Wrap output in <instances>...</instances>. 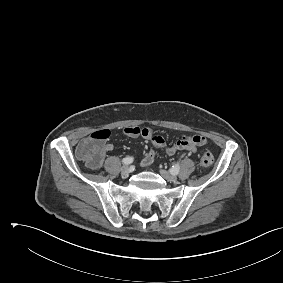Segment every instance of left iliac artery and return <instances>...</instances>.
Listing matches in <instances>:
<instances>
[{
  "instance_id": "44dca946",
  "label": "left iliac artery",
  "mask_w": 283,
  "mask_h": 283,
  "mask_svg": "<svg viewBox=\"0 0 283 283\" xmlns=\"http://www.w3.org/2000/svg\"><path fill=\"white\" fill-rule=\"evenodd\" d=\"M180 170V165L179 162H177L175 165L172 166V168L170 169V172L174 175L178 174Z\"/></svg>"
}]
</instances>
